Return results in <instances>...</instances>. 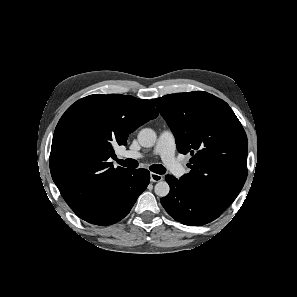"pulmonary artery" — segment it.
Masks as SVG:
<instances>
[{
    "mask_svg": "<svg viewBox=\"0 0 297 297\" xmlns=\"http://www.w3.org/2000/svg\"><path fill=\"white\" fill-rule=\"evenodd\" d=\"M176 141L173 133L164 130L159 135L154 154L159 155L167 168L176 176L182 177L186 173V169L177 161L175 157ZM127 158L139 159L144 155L140 152L128 151L125 153Z\"/></svg>",
    "mask_w": 297,
    "mask_h": 297,
    "instance_id": "obj_1",
    "label": "pulmonary artery"
}]
</instances>
